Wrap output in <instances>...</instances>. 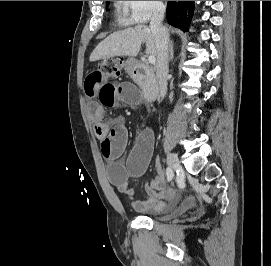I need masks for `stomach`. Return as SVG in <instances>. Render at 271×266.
Wrapping results in <instances>:
<instances>
[{
	"instance_id": "1",
	"label": "stomach",
	"mask_w": 271,
	"mask_h": 266,
	"mask_svg": "<svg viewBox=\"0 0 271 266\" xmlns=\"http://www.w3.org/2000/svg\"><path fill=\"white\" fill-rule=\"evenodd\" d=\"M132 62H133L132 59L128 60V61H127V65L130 66V64H131Z\"/></svg>"
}]
</instances>
